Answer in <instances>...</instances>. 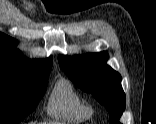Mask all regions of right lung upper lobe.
<instances>
[{
	"label": "right lung upper lobe",
	"instance_id": "cb5924a9",
	"mask_svg": "<svg viewBox=\"0 0 156 124\" xmlns=\"http://www.w3.org/2000/svg\"><path fill=\"white\" fill-rule=\"evenodd\" d=\"M17 40L0 33V73L27 77H40L50 74L52 57L44 60H29L14 48Z\"/></svg>",
	"mask_w": 156,
	"mask_h": 124
}]
</instances>
